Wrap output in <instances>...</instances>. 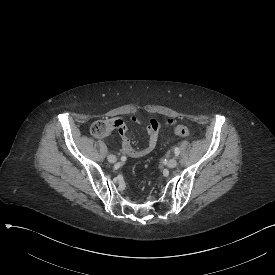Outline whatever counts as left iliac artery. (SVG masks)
Returning a JSON list of instances; mask_svg holds the SVG:
<instances>
[{
    "mask_svg": "<svg viewBox=\"0 0 275 275\" xmlns=\"http://www.w3.org/2000/svg\"><path fill=\"white\" fill-rule=\"evenodd\" d=\"M174 153H175V156H176V157L179 155L180 150H179L178 147H175V148H174Z\"/></svg>",
    "mask_w": 275,
    "mask_h": 275,
    "instance_id": "left-iliac-artery-1",
    "label": "left iliac artery"
}]
</instances>
